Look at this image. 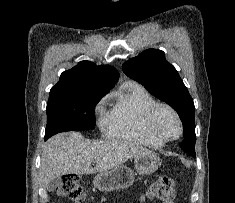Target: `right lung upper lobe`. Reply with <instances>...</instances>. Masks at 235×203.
Returning a JSON list of instances; mask_svg holds the SVG:
<instances>
[{"instance_id":"obj_1","label":"right lung upper lobe","mask_w":235,"mask_h":203,"mask_svg":"<svg viewBox=\"0 0 235 203\" xmlns=\"http://www.w3.org/2000/svg\"><path fill=\"white\" fill-rule=\"evenodd\" d=\"M118 71L109 65L81 61L70 70L64 71L52 89L87 88L108 92L118 81Z\"/></svg>"}]
</instances>
